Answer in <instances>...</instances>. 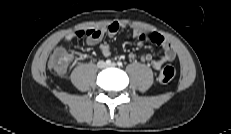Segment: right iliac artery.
Here are the masks:
<instances>
[{
    "instance_id": "1",
    "label": "right iliac artery",
    "mask_w": 231,
    "mask_h": 134,
    "mask_svg": "<svg viewBox=\"0 0 231 134\" xmlns=\"http://www.w3.org/2000/svg\"><path fill=\"white\" fill-rule=\"evenodd\" d=\"M106 64H107V65H110V64H111V60H109V59L106 60Z\"/></svg>"
}]
</instances>
